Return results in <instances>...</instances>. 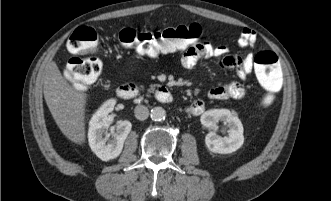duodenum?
<instances>
[{
	"instance_id": "410a0bca",
	"label": "duodenum",
	"mask_w": 331,
	"mask_h": 201,
	"mask_svg": "<svg viewBox=\"0 0 331 201\" xmlns=\"http://www.w3.org/2000/svg\"><path fill=\"white\" fill-rule=\"evenodd\" d=\"M139 88L135 83H124L117 88V95L121 99H131L138 95ZM156 99L164 104H169L173 101V96L167 87L159 85L155 90Z\"/></svg>"
}]
</instances>
